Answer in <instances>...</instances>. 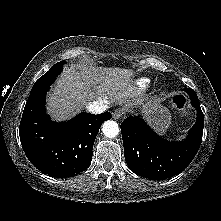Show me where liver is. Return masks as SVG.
Segmentation results:
<instances>
[{"mask_svg": "<svg viewBox=\"0 0 221 221\" xmlns=\"http://www.w3.org/2000/svg\"><path fill=\"white\" fill-rule=\"evenodd\" d=\"M133 72L122 68L66 66L47 98V110L57 121L69 119L93 101L124 102Z\"/></svg>", "mask_w": 221, "mask_h": 221, "instance_id": "1", "label": "liver"}]
</instances>
